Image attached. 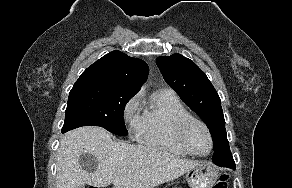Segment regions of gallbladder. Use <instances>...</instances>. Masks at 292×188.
<instances>
[{"instance_id":"gallbladder-1","label":"gallbladder","mask_w":292,"mask_h":188,"mask_svg":"<svg viewBox=\"0 0 292 188\" xmlns=\"http://www.w3.org/2000/svg\"><path fill=\"white\" fill-rule=\"evenodd\" d=\"M78 188H85L84 186H80V187H78Z\"/></svg>"}]
</instances>
